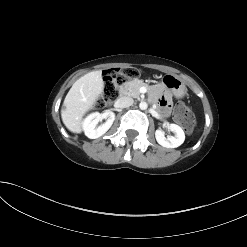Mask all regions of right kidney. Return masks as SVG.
Instances as JSON below:
<instances>
[{"mask_svg": "<svg viewBox=\"0 0 247 247\" xmlns=\"http://www.w3.org/2000/svg\"><path fill=\"white\" fill-rule=\"evenodd\" d=\"M102 119H107L106 122L99 127H96ZM115 120V113L106 110L103 113L94 112L88 115L83 121V130L85 135L90 139H96L105 134L112 126Z\"/></svg>", "mask_w": 247, "mask_h": 247, "instance_id": "obj_1", "label": "right kidney"}]
</instances>
